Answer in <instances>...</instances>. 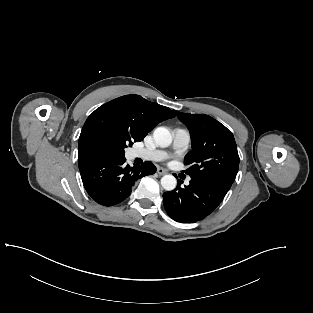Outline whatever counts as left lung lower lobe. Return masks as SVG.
<instances>
[{
  "label": "left lung lower lobe",
  "mask_w": 313,
  "mask_h": 313,
  "mask_svg": "<svg viewBox=\"0 0 313 313\" xmlns=\"http://www.w3.org/2000/svg\"><path fill=\"white\" fill-rule=\"evenodd\" d=\"M163 194L167 214L181 223H194L212 213L221 203L230 188L209 180L191 178L190 184Z\"/></svg>",
  "instance_id": "1"
}]
</instances>
